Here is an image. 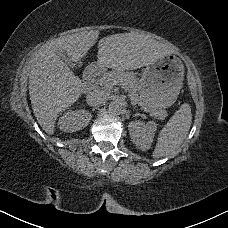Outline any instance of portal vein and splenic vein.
Wrapping results in <instances>:
<instances>
[{"instance_id": "portal-vein-and-splenic-vein-1", "label": "portal vein and splenic vein", "mask_w": 228, "mask_h": 228, "mask_svg": "<svg viewBox=\"0 0 228 228\" xmlns=\"http://www.w3.org/2000/svg\"><path fill=\"white\" fill-rule=\"evenodd\" d=\"M106 81H109V80H106ZM101 86L104 84L103 80L100 79V83H99ZM117 84V81L116 80H113L112 81V86L116 85ZM111 86H108V89H110Z\"/></svg>"}]
</instances>
